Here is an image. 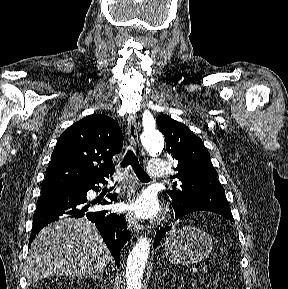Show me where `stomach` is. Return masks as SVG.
I'll return each instance as SVG.
<instances>
[{
    "label": "stomach",
    "instance_id": "0dacf381",
    "mask_svg": "<svg viewBox=\"0 0 288 289\" xmlns=\"http://www.w3.org/2000/svg\"><path fill=\"white\" fill-rule=\"evenodd\" d=\"M213 247L210 235L197 227L174 229L164 242L166 258L176 264H193L206 259Z\"/></svg>",
    "mask_w": 288,
    "mask_h": 289
}]
</instances>
